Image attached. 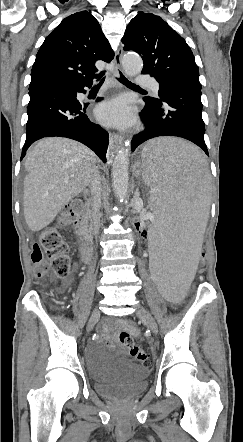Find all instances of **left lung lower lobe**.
Instances as JSON below:
<instances>
[{"mask_svg":"<svg viewBox=\"0 0 243 442\" xmlns=\"http://www.w3.org/2000/svg\"><path fill=\"white\" fill-rule=\"evenodd\" d=\"M159 97L155 102L144 98L147 104L142 110L141 119L146 128L133 137L132 151L151 138L177 136L195 143L208 155L204 141L200 82H165L160 85Z\"/></svg>","mask_w":243,"mask_h":442,"instance_id":"left-lung-lower-lobe-1","label":"left lung lower lobe"}]
</instances>
